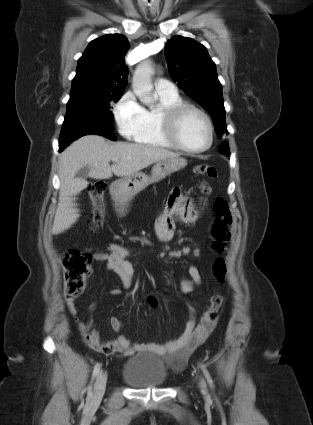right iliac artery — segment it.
Returning <instances> with one entry per match:
<instances>
[{
    "mask_svg": "<svg viewBox=\"0 0 313 425\" xmlns=\"http://www.w3.org/2000/svg\"><path fill=\"white\" fill-rule=\"evenodd\" d=\"M100 368H101V364H96L92 373V381L97 377V375L100 372ZM92 385L90 384L87 388V399L88 401L91 399L92 397Z\"/></svg>",
    "mask_w": 313,
    "mask_h": 425,
    "instance_id": "obj_1",
    "label": "right iliac artery"
}]
</instances>
